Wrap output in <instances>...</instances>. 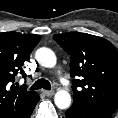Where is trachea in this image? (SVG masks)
<instances>
[{
  "label": "trachea",
  "instance_id": "1",
  "mask_svg": "<svg viewBox=\"0 0 118 118\" xmlns=\"http://www.w3.org/2000/svg\"><path fill=\"white\" fill-rule=\"evenodd\" d=\"M46 89V90H50L51 89V84L48 80L46 79H39L37 80L32 86H31V90H37V89Z\"/></svg>",
  "mask_w": 118,
  "mask_h": 118
}]
</instances>
